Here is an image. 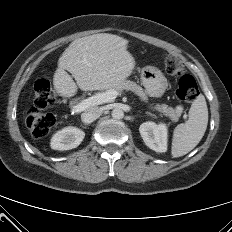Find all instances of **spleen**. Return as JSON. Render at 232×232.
Segmentation results:
<instances>
[{"mask_svg": "<svg viewBox=\"0 0 232 232\" xmlns=\"http://www.w3.org/2000/svg\"><path fill=\"white\" fill-rule=\"evenodd\" d=\"M208 124V108L205 97L199 95L192 103L189 110V119L176 126L173 132L171 154L180 157L201 141Z\"/></svg>", "mask_w": 232, "mask_h": 232, "instance_id": "obj_1", "label": "spleen"}]
</instances>
